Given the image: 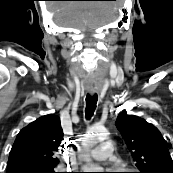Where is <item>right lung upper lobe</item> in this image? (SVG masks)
Wrapping results in <instances>:
<instances>
[{"label":"right lung upper lobe","mask_w":173,"mask_h":173,"mask_svg":"<svg viewBox=\"0 0 173 173\" xmlns=\"http://www.w3.org/2000/svg\"><path fill=\"white\" fill-rule=\"evenodd\" d=\"M63 131L60 118L42 116L23 128L9 153L7 173L54 169L59 162L56 153L62 147Z\"/></svg>","instance_id":"cb5924a9"}]
</instances>
